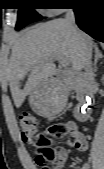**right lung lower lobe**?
<instances>
[{"label": "right lung lower lobe", "mask_w": 104, "mask_h": 169, "mask_svg": "<svg viewBox=\"0 0 104 169\" xmlns=\"http://www.w3.org/2000/svg\"><path fill=\"white\" fill-rule=\"evenodd\" d=\"M70 6L80 29L104 42V0H76Z\"/></svg>", "instance_id": "98d812e1"}]
</instances>
